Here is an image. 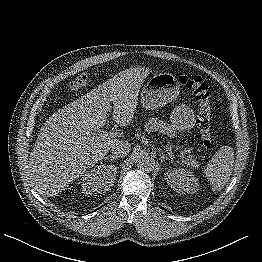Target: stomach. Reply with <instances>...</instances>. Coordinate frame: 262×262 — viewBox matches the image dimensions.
Masks as SVG:
<instances>
[{"instance_id":"0dacf381","label":"stomach","mask_w":262,"mask_h":262,"mask_svg":"<svg viewBox=\"0 0 262 262\" xmlns=\"http://www.w3.org/2000/svg\"><path fill=\"white\" fill-rule=\"evenodd\" d=\"M179 93L180 84L173 74L158 73L151 77L143 87L140 102L146 109L155 110L174 101ZM170 120L176 131H187L195 123L192 109L184 104L172 110Z\"/></svg>"}]
</instances>
